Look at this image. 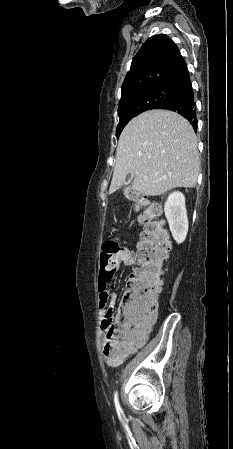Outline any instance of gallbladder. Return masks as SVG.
<instances>
[{
  "label": "gallbladder",
  "instance_id": "gallbladder-1",
  "mask_svg": "<svg viewBox=\"0 0 233 449\" xmlns=\"http://www.w3.org/2000/svg\"><path fill=\"white\" fill-rule=\"evenodd\" d=\"M131 178L130 177H126L124 184L127 185L130 182ZM131 195H133V197L137 196L135 195L133 192H131Z\"/></svg>",
  "mask_w": 233,
  "mask_h": 449
}]
</instances>
